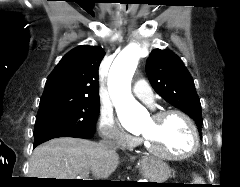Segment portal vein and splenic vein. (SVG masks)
I'll return each instance as SVG.
<instances>
[{
	"label": "portal vein and splenic vein",
	"mask_w": 240,
	"mask_h": 187,
	"mask_svg": "<svg viewBox=\"0 0 240 187\" xmlns=\"http://www.w3.org/2000/svg\"><path fill=\"white\" fill-rule=\"evenodd\" d=\"M88 174H89V172H86V173L82 174V176L87 177Z\"/></svg>",
	"instance_id": "1"
}]
</instances>
